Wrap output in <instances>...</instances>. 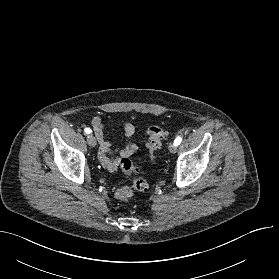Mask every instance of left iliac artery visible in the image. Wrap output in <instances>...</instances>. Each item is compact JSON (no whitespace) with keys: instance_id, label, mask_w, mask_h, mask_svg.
<instances>
[{"instance_id":"1","label":"left iliac artery","mask_w":279,"mask_h":279,"mask_svg":"<svg viewBox=\"0 0 279 279\" xmlns=\"http://www.w3.org/2000/svg\"><path fill=\"white\" fill-rule=\"evenodd\" d=\"M182 141V137L178 136L175 141H174V145L178 146Z\"/></svg>"}]
</instances>
